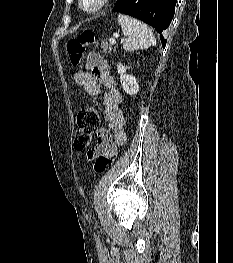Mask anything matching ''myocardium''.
<instances>
[{"label":"myocardium","mask_w":233,"mask_h":263,"mask_svg":"<svg viewBox=\"0 0 233 263\" xmlns=\"http://www.w3.org/2000/svg\"><path fill=\"white\" fill-rule=\"evenodd\" d=\"M110 0H94L92 5H88V0H79V8L86 14H96L101 11Z\"/></svg>","instance_id":"myocardium-1"}]
</instances>
